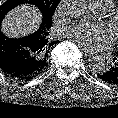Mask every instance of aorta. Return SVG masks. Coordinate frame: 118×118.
Masks as SVG:
<instances>
[{
    "instance_id": "1",
    "label": "aorta",
    "mask_w": 118,
    "mask_h": 118,
    "mask_svg": "<svg viewBox=\"0 0 118 118\" xmlns=\"http://www.w3.org/2000/svg\"><path fill=\"white\" fill-rule=\"evenodd\" d=\"M66 13L75 19H88V9L86 0H66ZM89 67L94 73H103L107 70V65L104 59L96 57L89 63Z\"/></svg>"
}]
</instances>
